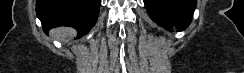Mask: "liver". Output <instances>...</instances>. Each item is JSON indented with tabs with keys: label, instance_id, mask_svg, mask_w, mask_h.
Returning a JSON list of instances; mask_svg holds the SVG:
<instances>
[{
	"label": "liver",
	"instance_id": "liver-1",
	"mask_svg": "<svg viewBox=\"0 0 244 73\" xmlns=\"http://www.w3.org/2000/svg\"><path fill=\"white\" fill-rule=\"evenodd\" d=\"M72 32V29H69V28H61V29H58L57 31H56V33L58 34V35H62V36H64V35H68L69 33H71Z\"/></svg>",
	"mask_w": 244,
	"mask_h": 73
}]
</instances>
